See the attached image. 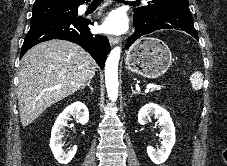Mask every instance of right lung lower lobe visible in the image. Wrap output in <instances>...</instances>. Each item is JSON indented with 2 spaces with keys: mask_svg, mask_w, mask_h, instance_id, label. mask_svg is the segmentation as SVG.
<instances>
[{
  "mask_svg": "<svg viewBox=\"0 0 227 166\" xmlns=\"http://www.w3.org/2000/svg\"><path fill=\"white\" fill-rule=\"evenodd\" d=\"M90 24L92 23L89 19L79 17L77 14L74 16H53L31 22L30 30L24 39L20 58L38 43L51 39H62L80 45L103 69L110 44L105 36L93 35L88 27Z\"/></svg>",
  "mask_w": 227,
  "mask_h": 166,
  "instance_id": "obj_1",
  "label": "right lung lower lobe"
}]
</instances>
